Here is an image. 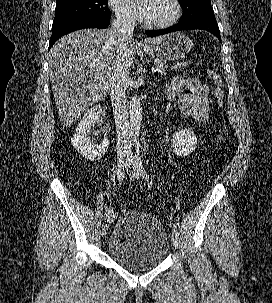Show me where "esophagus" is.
<instances>
[{
  "label": "esophagus",
  "mask_w": 272,
  "mask_h": 303,
  "mask_svg": "<svg viewBox=\"0 0 272 303\" xmlns=\"http://www.w3.org/2000/svg\"><path fill=\"white\" fill-rule=\"evenodd\" d=\"M139 45H144V43H143V42H140Z\"/></svg>",
  "instance_id": "34e87169"
}]
</instances>
